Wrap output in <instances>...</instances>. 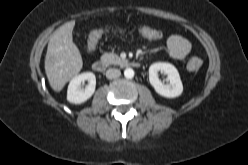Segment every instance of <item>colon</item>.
I'll use <instances>...</instances> for the list:
<instances>
[{
	"mask_svg": "<svg viewBox=\"0 0 248 165\" xmlns=\"http://www.w3.org/2000/svg\"><path fill=\"white\" fill-rule=\"evenodd\" d=\"M108 32L109 30L107 29H98V30L93 31L90 35L89 42H88L89 48L93 49L95 45L97 44V42L99 41V39ZM144 34L155 40L159 39L162 36L160 31L153 29V28L145 29ZM202 63L203 62L200 58L193 57L188 61L187 68L189 71H198L201 68Z\"/></svg>",
	"mask_w": 248,
	"mask_h": 165,
	"instance_id": "obj_1",
	"label": "colon"
}]
</instances>
